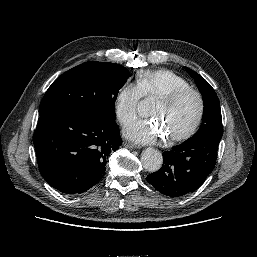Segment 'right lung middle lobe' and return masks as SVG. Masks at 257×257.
<instances>
[{"label":"right lung middle lobe","instance_id":"right-lung-middle-lobe-1","mask_svg":"<svg viewBox=\"0 0 257 257\" xmlns=\"http://www.w3.org/2000/svg\"><path fill=\"white\" fill-rule=\"evenodd\" d=\"M129 71L115 63L85 62L59 76L45 93L39 115L72 109L115 120L114 104Z\"/></svg>","mask_w":257,"mask_h":257}]
</instances>
